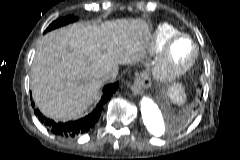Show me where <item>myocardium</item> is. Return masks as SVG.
I'll use <instances>...</instances> for the list:
<instances>
[{
  "instance_id": "f54148a6",
  "label": "myocardium",
  "mask_w": 240,
  "mask_h": 160,
  "mask_svg": "<svg viewBox=\"0 0 240 160\" xmlns=\"http://www.w3.org/2000/svg\"><path fill=\"white\" fill-rule=\"evenodd\" d=\"M185 39L190 42L192 52L183 62H177L173 57V47L179 40ZM199 56V46L189 35L178 33L173 36L162 48L153 64V76L156 81L166 83L173 81L187 73L195 64Z\"/></svg>"
}]
</instances>
